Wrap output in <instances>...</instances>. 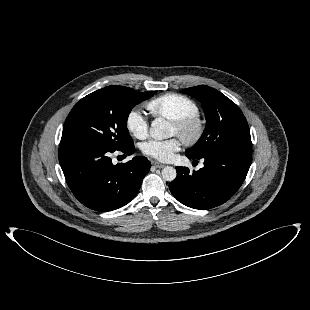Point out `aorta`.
Returning <instances> with one entry per match:
<instances>
[{"instance_id":"aorta-1","label":"aorta","mask_w":310,"mask_h":310,"mask_svg":"<svg viewBox=\"0 0 310 310\" xmlns=\"http://www.w3.org/2000/svg\"><path fill=\"white\" fill-rule=\"evenodd\" d=\"M149 132L150 136L155 140L167 139L172 136L170 125L168 121L163 118H156L153 120ZM176 175V169L171 166L162 169V178L166 181H173Z\"/></svg>"}]
</instances>
